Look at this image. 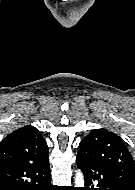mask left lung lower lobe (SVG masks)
<instances>
[{
    "instance_id": "obj_1",
    "label": "left lung lower lobe",
    "mask_w": 135,
    "mask_h": 190,
    "mask_svg": "<svg viewBox=\"0 0 135 190\" xmlns=\"http://www.w3.org/2000/svg\"><path fill=\"white\" fill-rule=\"evenodd\" d=\"M76 162L85 179V187L81 190H128L109 170L79 158H76ZM95 183L100 188H93Z\"/></svg>"
}]
</instances>
